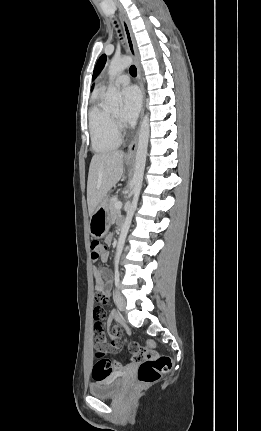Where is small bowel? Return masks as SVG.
I'll return each instance as SVG.
<instances>
[{"label":"small bowel","mask_w":261,"mask_h":431,"mask_svg":"<svg viewBox=\"0 0 261 431\" xmlns=\"http://www.w3.org/2000/svg\"><path fill=\"white\" fill-rule=\"evenodd\" d=\"M106 242H112V236L108 235L106 237ZM109 258V255L106 254L101 258V261L106 262ZM93 273L95 277V286L93 295V300L95 301L93 305V312L91 316L94 318V332H95V345L105 351L110 352H118L122 348V343L120 340V331L117 327H112V321L118 318L115 312H111L108 316V320H106L105 315H107L108 310L105 308V303L107 297L110 296V284L112 281V275L109 270L105 268L94 267ZM102 315V316H101ZM106 323L108 325V329L110 332V341L106 342L104 340ZM129 354L135 355L136 351L139 350L138 344H133L132 346H128ZM110 362V361H109ZM115 362V361H111ZM123 370V366H122ZM117 374V373H110Z\"/></svg>","instance_id":"c3829d8e"}]
</instances>
